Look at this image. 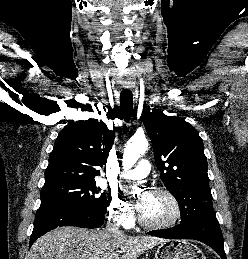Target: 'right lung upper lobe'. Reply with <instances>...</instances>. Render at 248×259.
Listing matches in <instances>:
<instances>
[{
    "mask_svg": "<svg viewBox=\"0 0 248 259\" xmlns=\"http://www.w3.org/2000/svg\"><path fill=\"white\" fill-rule=\"evenodd\" d=\"M114 133L98 120L70 123L59 133L45 172V183L94 180L107 162Z\"/></svg>",
    "mask_w": 248,
    "mask_h": 259,
    "instance_id": "obj_1",
    "label": "right lung upper lobe"
}]
</instances>
